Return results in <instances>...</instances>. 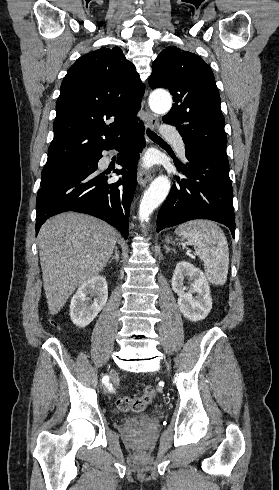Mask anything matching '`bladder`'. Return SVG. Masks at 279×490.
<instances>
[{
	"mask_svg": "<svg viewBox=\"0 0 279 490\" xmlns=\"http://www.w3.org/2000/svg\"><path fill=\"white\" fill-rule=\"evenodd\" d=\"M150 415H152L151 411H145V412H139V413L132 414V416L137 417V418H144V417L150 416Z\"/></svg>",
	"mask_w": 279,
	"mask_h": 490,
	"instance_id": "obj_1",
	"label": "bladder"
}]
</instances>
